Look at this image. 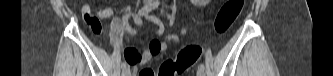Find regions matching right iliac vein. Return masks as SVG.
<instances>
[{
	"instance_id": "1",
	"label": "right iliac vein",
	"mask_w": 333,
	"mask_h": 76,
	"mask_svg": "<svg viewBox=\"0 0 333 76\" xmlns=\"http://www.w3.org/2000/svg\"><path fill=\"white\" fill-rule=\"evenodd\" d=\"M130 75V70L129 69H125L122 71V76H129Z\"/></svg>"
}]
</instances>
